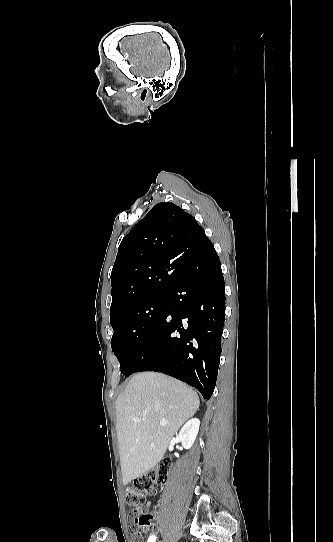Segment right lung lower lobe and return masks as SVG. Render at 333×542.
I'll use <instances>...</instances> for the list:
<instances>
[{
	"instance_id": "1",
	"label": "right lung lower lobe",
	"mask_w": 333,
	"mask_h": 542,
	"mask_svg": "<svg viewBox=\"0 0 333 542\" xmlns=\"http://www.w3.org/2000/svg\"><path fill=\"white\" fill-rule=\"evenodd\" d=\"M183 278L168 292V307L125 377L157 371L197 388L209 400L218 374L225 316V285L212 243L175 259Z\"/></svg>"
}]
</instances>
